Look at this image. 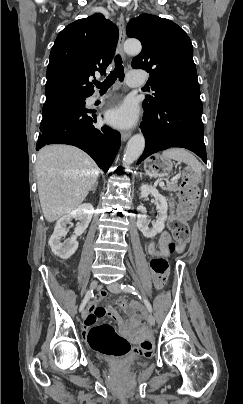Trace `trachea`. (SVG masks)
Wrapping results in <instances>:
<instances>
[{"instance_id": "3493384b", "label": "trachea", "mask_w": 243, "mask_h": 404, "mask_svg": "<svg viewBox=\"0 0 243 404\" xmlns=\"http://www.w3.org/2000/svg\"><path fill=\"white\" fill-rule=\"evenodd\" d=\"M115 67L112 72L109 73L108 77L104 80V82H94V85L99 88L101 91H106L110 88L116 79L118 78L121 82L124 80V68L122 64V59L120 55H116L115 57Z\"/></svg>"}]
</instances>
